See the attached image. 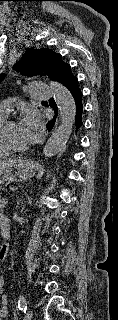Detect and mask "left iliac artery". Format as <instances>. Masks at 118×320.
Masks as SVG:
<instances>
[{
    "label": "left iliac artery",
    "mask_w": 118,
    "mask_h": 320,
    "mask_svg": "<svg viewBox=\"0 0 118 320\" xmlns=\"http://www.w3.org/2000/svg\"><path fill=\"white\" fill-rule=\"evenodd\" d=\"M18 308H19V310L24 311V312L27 310V301H26V298L23 294H21L19 296Z\"/></svg>",
    "instance_id": "left-iliac-artery-1"
}]
</instances>
